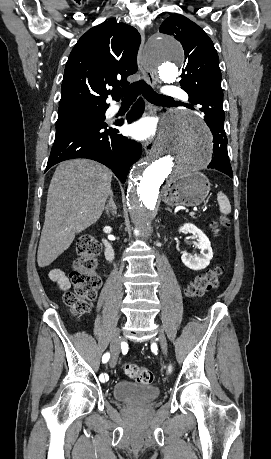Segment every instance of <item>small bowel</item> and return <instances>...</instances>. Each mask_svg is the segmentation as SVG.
Wrapping results in <instances>:
<instances>
[{
    "instance_id": "c3829d8e",
    "label": "small bowel",
    "mask_w": 271,
    "mask_h": 459,
    "mask_svg": "<svg viewBox=\"0 0 271 459\" xmlns=\"http://www.w3.org/2000/svg\"><path fill=\"white\" fill-rule=\"evenodd\" d=\"M50 279L62 290L70 288V282L65 273L60 269H53L49 272Z\"/></svg>"
}]
</instances>
